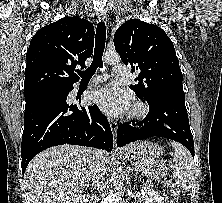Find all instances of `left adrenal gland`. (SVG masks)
Here are the masks:
<instances>
[{
  "label": "left adrenal gland",
  "instance_id": "a2214340",
  "mask_svg": "<svg viewBox=\"0 0 222 203\" xmlns=\"http://www.w3.org/2000/svg\"><path fill=\"white\" fill-rule=\"evenodd\" d=\"M127 168H128V174L130 173V172H134V173H138V171L137 170H135L133 167H131L130 165H128L127 166Z\"/></svg>",
  "mask_w": 222,
  "mask_h": 203
}]
</instances>
